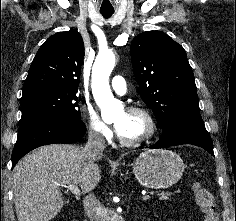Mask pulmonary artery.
<instances>
[{
  "label": "pulmonary artery",
  "instance_id": "pulmonary-artery-1",
  "mask_svg": "<svg viewBox=\"0 0 236 221\" xmlns=\"http://www.w3.org/2000/svg\"><path fill=\"white\" fill-rule=\"evenodd\" d=\"M111 86L112 89L117 93V94H125L127 91V84L125 79L120 76V75H116L112 78L111 80Z\"/></svg>",
  "mask_w": 236,
  "mask_h": 221
}]
</instances>
